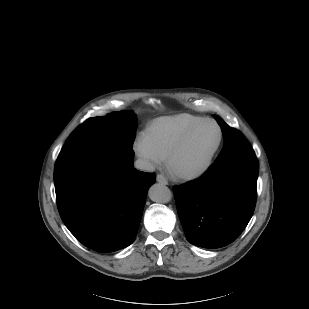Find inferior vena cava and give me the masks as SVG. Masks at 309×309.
<instances>
[{"instance_id":"602c4592","label":"inferior vena cava","mask_w":309,"mask_h":309,"mask_svg":"<svg viewBox=\"0 0 309 309\" xmlns=\"http://www.w3.org/2000/svg\"><path fill=\"white\" fill-rule=\"evenodd\" d=\"M136 169L146 172H153L155 167L152 163L144 159H137L134 163Z\"/></svg>"}]
</instances>
